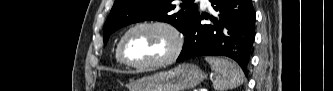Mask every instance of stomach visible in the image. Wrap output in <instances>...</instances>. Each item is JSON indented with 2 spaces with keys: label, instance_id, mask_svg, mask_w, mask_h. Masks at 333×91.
<instances>
[{
  "label": "stomach",
  "instance_id": "obj_1",
  "mask_svg": "<svg viewBox=\"0 0 333 91\" xmlns=\"http://www.w3.org/2000/svg\"><path fill=\"white\" fill-rule=\"evenodd\" d=\"M204 78L197 65L184 63L172 70L133 80L129 88L130 91H185L200 84Z\"/></svg>",
  "mask_w": 333,
  "mask_h": 91
}]
</instances>
